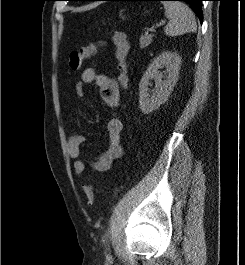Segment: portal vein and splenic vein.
Returning <instances> with one entry per match:
<instances>
[{
	"mask_svg": "<svg viewBox=\"0 0 245 265\" xmlns=\"http://www.w3.org/2000/svg\"><path fill=\"white\" fill-rule=\"evenodd\" d=\"M164 23H165L164 21H161L159 24H156V28L160 27ZM150 31L153 33V32H155V29H151Z\"/></svg>",
	"mask_w": 245,
	"mask_h": 265,
	"instance_id": "18ae733b",
	"label": "portal vein and splenic vein"
}]
</instances>
